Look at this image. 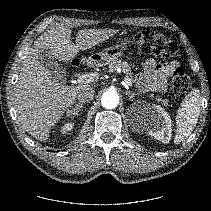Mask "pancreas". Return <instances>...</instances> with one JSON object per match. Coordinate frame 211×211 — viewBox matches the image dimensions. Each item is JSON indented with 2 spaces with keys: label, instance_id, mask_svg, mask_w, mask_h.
I'll use <instances>...</instances> for the list:
<instances>
[{
  "label": "pancreas",
  "instance_id": "obj_1",
  "mask_svg": "<svg viewBox=\"0 0 211 211\" xmlns=\"http://www.w3.org/2000/svg\"><path fill=\"white\" fill-rule=\"evenodd\" d=\"M118 68H121L122 72L124 74H126L127 76H129L131 78V80L133 81V79H132L133 74L131 72V67L126 61L115 60V61L111 62L110 65H109L110 71H115ZM151 97H153V95H151ZM156 100L158 102H162L164 105L168 104V100H162V98H160V97H156Z\"/></svg>",
  "mask_w": 211,
  "mask_h": 211
}]
</instances>
